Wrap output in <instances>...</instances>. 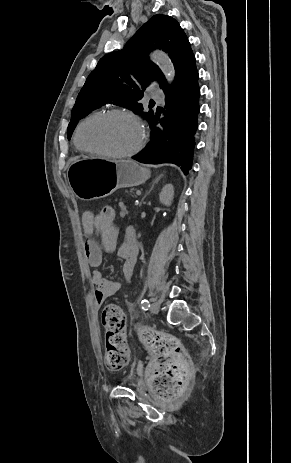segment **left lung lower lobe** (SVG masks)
Instances as JSON below:
<instances>
[{
  "mask_svg": "<svg viewBox=\"0 0 291 463\" xmlns=\"http://www.w3.org/2000/svg\"><path fill=\"white\" fill-rule=\"evenodd\" d=\"M198 78L195 68L165 92V117L159 119V114H154L149 120L150 141L133 159L148 164L173 163L188 174L200 112Z\"/></svg>",
  "mask_w": 291,
  "mask_h": 463,
  "instance_id": "left-lung-lower-lobe-1",
  "label": "left lung lower lobe"
}]
</instances>
